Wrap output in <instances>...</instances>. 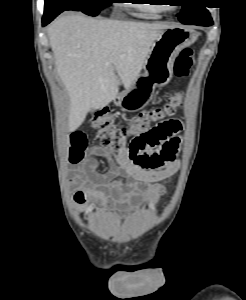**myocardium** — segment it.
<instances>
[{
	"label": "myocardium",
	"instance_id": "myocardium-1",
	"mask_svg": "<svg viewBox=\"0 0 246 300\" xmlns=\"http://www.w3.org/2000/svg\"><path fill=\"white\" fill-rule=\"evenodd\" d=\"M169 9H171V10H175V9H176V7H171V8H169Z\"/></svg>",
	"mask_w": 246,
	"mask_h": 300
}]
</instances>
